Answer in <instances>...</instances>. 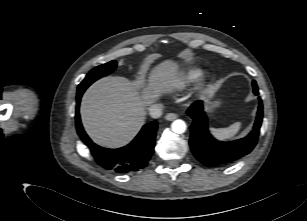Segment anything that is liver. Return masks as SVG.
Instances as JSON below:
<instances>
[{"mask_svg": "<svg viewBox=\"0 0 307 221\" xmlns=\"http://www.w3.org/2000/svg\"><path fill=\"white\" fill-rule=\"evenodd\" d=\"M179 68L171 60L154 67L149 84L138 86L119 76H107L93 83L84 93L80 106L82 124L90 138L104 147L129 143L145 123L146 106L180 83ZM143 90L140 92L139 88ZM215 93L206 90V99Z\"/></svg>", "mask_w": 307, "mask_h": 221, "instance_id": "6515ba94", "label": "liver"}]
</instances>
